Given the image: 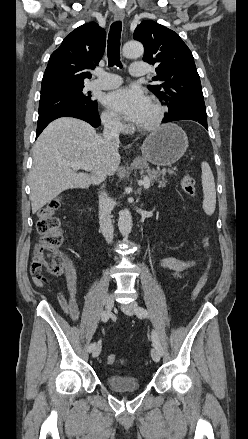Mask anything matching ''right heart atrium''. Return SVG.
Here are the masks:
<instances>
[{
    "label": "right heart atrium",
    "mask_w": 248,
    "mask_h": 439,
    "mask_svg": "<svg viewBox=\"0 0 248 439\" xmlns=\"http://www.w3.org/2000/svg\"><path fill=\"white\" fill-rule=\"evenodd\" d=\"M101 121L103 125L113 131H122L124 129V124L121 119L111 111H104L101 114Z\"/></svg>",
    "instance_id": "d8ad5b80"
}]
</instances>
